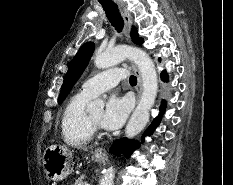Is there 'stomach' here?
I'll return each mask as SVG.
<instances>
[{"mask_svg": "<svg viewBox=\"0 0 233 185\" xmlns=\"http://www.w3.org/2000/svg\"><path fill=\"white\" fill-rule=\"evenodd\" d=\"M97 162L105 160V156L93 154ZM73 154L64 146L51 145L44 151L43 168L46 176L53 181H61L72 173Z\"/></svg>", "mask_w": 233, "mask_h": 185, "instance_id": "0dacf381", "label": "stomach"}]
</instances>
